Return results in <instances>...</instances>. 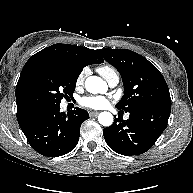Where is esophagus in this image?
I'll use <instances>...</instances> for the list:
<instances>
[{
	"label": "esophagus",
	"mask_w": 193,
	"mask_h": 193,
	"mask_svg": "<svg viewBox=\"0 0 193 193\" xmlns=\"http://www.w3.org/2000/svg\"><path fill=\"white\" fill-rule=\"evenodd\" d=\"M98 114H99L98 111H90V112H89V116H90V117H96Z\"/></svg>",
	"instance_id": "34e87169"
}]
</instances>
